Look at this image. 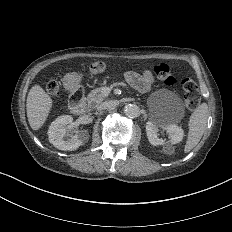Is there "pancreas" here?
Masks as SVG:
<instances>
[{
    "label": "pancreas",
    "instance_id": "cf45deb5",
    "mask_svg": "<svg viewBox=\"0 0 232 232\" xmlns=\"http://www.w3.org/2000/svg\"><path fill=\"white\" fill-rule=\"evenodd\" d=\"M108 98V95L105 92L104 87H99L93 89L89 96L86 98L88 107L89 108H94L98 106L101 102L106 100Z\"/></svg>",
    "mask_w": 232,
    "mask_h": 232
}]
</instances>
